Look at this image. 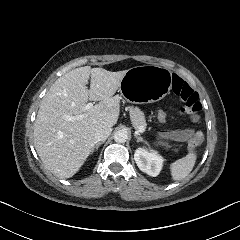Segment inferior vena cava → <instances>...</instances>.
<instances>
[{
    "label": "inferior vena cava",
    "instance_id": "1",
    "mask_svg": "<svg viewBox=\"0 0 240 240\" xmlns=\"http://www.w3.org/2000/svg\"><path fill=\"white\" fill-rule=\"evenodd\" d=\"M112 132V127L104 125L96 129L94 134L95 142L105 141Z\"/></svg>",
    "mask_w": 240,
    "mask_h": 240
}]
</instances>
